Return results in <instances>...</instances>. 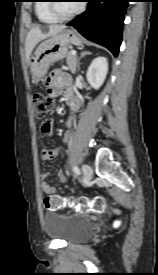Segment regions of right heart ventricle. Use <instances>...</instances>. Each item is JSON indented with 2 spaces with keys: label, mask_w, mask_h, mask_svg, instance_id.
Segmentation results:
<instances>
[{
  "label": "right heart ventricle",
  "mask_w": 158,
  "mask_h": 275,
  "mask_svg": "<svg viewBox=\"0 0 158 275\" xmlns=\"http://www.w3.org/2000/svg\"><path fill=\"white\" fill-rule=\"evenodd\" d=\"M49 2L50 0H39L35 7L36 14L38 19L43 23H56L59 19L50 11Z\"/></svg>",
  "instance_id": "1"
}]
</instances>
